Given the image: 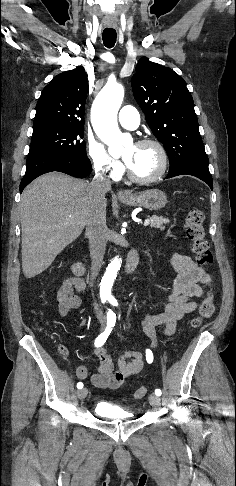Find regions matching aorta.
Masks as SVG:
<instances>
[{
    "mask_svg": "<svg viewBox=\"0 0 236 486\" xmlns=\"http://www.w3.org/2000/svg\"><path fill=\"white\" fill-rule=\"evenodd\" d=\"M124 98V88L118 83H107L95 99L91 119L98 137L108 145L111 155L119 153L125 141L117 124V113ZM121 259L115 257L108 265L100 283L101 296H111V290Z\"/></svg>",
    "mask_w": 236,
    "mask_h": 486,
    "instance_id": "762f6f07",
    "label": "aorta"
}]
</instances>
